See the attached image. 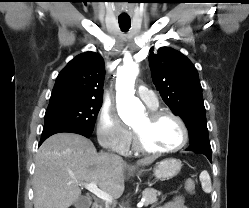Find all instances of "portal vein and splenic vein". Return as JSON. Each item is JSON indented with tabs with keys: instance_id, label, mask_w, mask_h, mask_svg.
Wrapping results in <instances>:
<instances>
[{
	"instance_id": "1",
	"label": "portal vein and splenic vein",
	"mask_w": 249,
	"mask_h": 208,
	"mask_svg": "<svg viewBox=\"0 0 249 208\" xmlns=\"http://www.w3.org/2000/svg\"><path fill=\"white\" fill-rule=\"evenodd\" d=\"M79 185H83L87 190H89L91 193H93L94 195H96L98 198L104 200L107 203H112L113 202V198L111 195H109L108 193L102 191L101 189H99L97 187V184L95 182H91V183H81ZM144 201L145 199H142L138 204L137 207L141 208L144 205Z\"/></svg>"
}]
</instances>
